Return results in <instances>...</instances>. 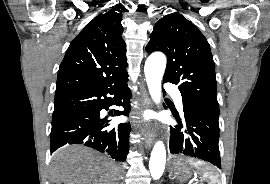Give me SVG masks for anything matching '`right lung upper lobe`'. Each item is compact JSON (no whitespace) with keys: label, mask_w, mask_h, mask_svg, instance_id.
I'll return each instance as SVG.
<instances>
[{"label":"right lung upper lobe","mask_w":270,"mask_h":184,"mask_svg":"<svg viewBox=\"0 0 270 184\" xmlns=\"http://www.w3.org/2000/svg\"><path fill=\"white\" fill-rule=\"evenodd\" d=\"M122 13L96 16L70 43L57 75L56 94L104 86L127 77Z\"/></svg>","instance_id":"obj_1"}]
</instances>
